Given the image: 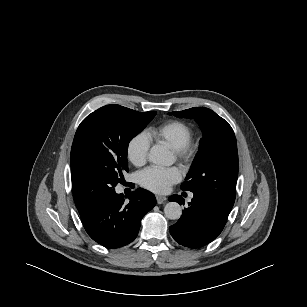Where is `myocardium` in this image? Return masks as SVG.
<instances>
[{"label":"myocardium","instance_id":"f54148a6","mask_svg":"<svg viewBox=\"0 0 307 307\" xmlns=\"http://www.w3.org/2000/svg\"><path fill=\"white\" fill-rule=\"evenodd\" d=\"M175 158L184 166H189L197 156L198 145L189 141L182 147L173 150Z\"/></svg>","mask_w":307,"mask_h":307}]
</instances>
